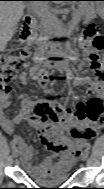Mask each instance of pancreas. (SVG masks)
I'll return each instance as SVG.
<instances>
[{"mask_svg":"<svg viewBox=\"0 0 104 189\" xmlns=\"http://www.w3.org/2000/svg\"><path fill=\"white\" fill-rule=\"evenodd\" d=\"M84 15L85 19L88 20L93 17V10L88 7L81 8L76 15H74L73 20L77 21ZM65 35V28L62 22L56 18L44 19L41 23L40 34L35 36L34 39L36 43L40 46L47 44V41L52 37H61Z\"/></svg>","mask_w":104,"mask_h":189,"instance_id":"obj_1","label":"pancreas"}]
</instances>
